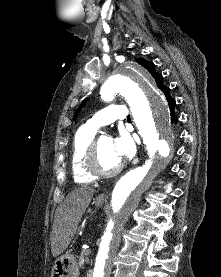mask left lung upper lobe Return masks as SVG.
Segmentation results:
<instances>
[{
  "label": "left lung upper lobe",
  "mask_w": 221,
  "mask_h": 277,
  "mask_svg": "<svg viewBox=\"0 0 221 277\" xmlns=\"http://www.w3.org/2000/svg\"><path fill=\"white\" fill-rule=\"evenodd\" d=\"M140 65H142L143 67H145L151 74L152 76L155 78V81L159 87V89H161L162 91L164 90V88H166V86L163 84V77L159 74H157L155 72L154 69V64L152 62L146 61L142 58H139L136 60ZM87 102V98L81 103V105L78 107V109L75 111L74 114V118L77 116L78 112L80 111V109L86 104Z\"/></svg>",
  "instance_id": "1"
}]
</instances>
